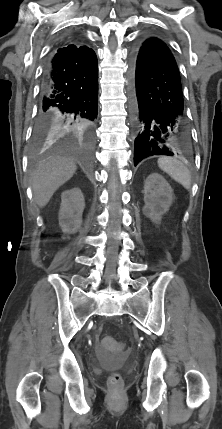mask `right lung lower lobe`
<instances>
[{
	"mask_svg": "<svg viewBox=\"0 0 222 429\" xmlns=\"http://www.w3.org/2000/svg\"><path fill=\"white\" fill-rule=\"evenodd\" d=\"M98 110V65L67 47L53 52L45 65L36 128L89 136Z\"/></svg>",
	"mask_w": 222,
	"mask_h": 429,
	"instance_id": "1",
	"label": "right lung lower lobe"
}]
</instances>
